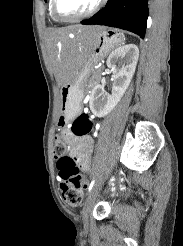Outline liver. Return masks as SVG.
<instances>
[{
    "mask_svg": "<svg viewBox=\"0 0 183 246\" xmlns=\"http://www.w3.org/2000/svg\"><path fill=\"white\" fill-rule=\"evenodd\" d=\"M101 28L76 25L49 31L48 52L58 83L66 84L75 77L80 65L85 62L88 47ZM71 34L73 38L68 40Z\"/></svg>",
    "mask_w": 183,
    "mask_h": 246,
    "instance_id": "1",
    "label": "liver"
}]
</instances>
